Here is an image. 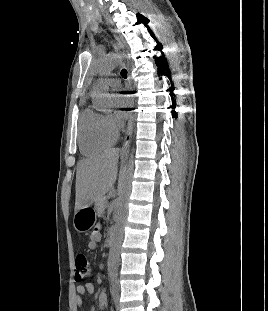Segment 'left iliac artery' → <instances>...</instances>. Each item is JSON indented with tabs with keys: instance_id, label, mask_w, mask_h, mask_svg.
I'll use <instances>...</instances> for the list:
<instances>
[{
	"instance_id": "1",
	"label": "left iliac artery",
	"mask_w": 268,
	"mask_h": 311,
	"mask_svg": "<svg viewBox=\"0 0 268 311\" xmlns=\"http://www.w3.org/2000/svg\"><path fill=\"white\" fill-rule=\"evenodd\" d=\"M111 285H112V297H113L115 306L117 308L118 301H119V290H118L117 280L113 279L112 282H111Z\"/></svg>"
}]
</instances>
